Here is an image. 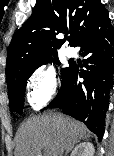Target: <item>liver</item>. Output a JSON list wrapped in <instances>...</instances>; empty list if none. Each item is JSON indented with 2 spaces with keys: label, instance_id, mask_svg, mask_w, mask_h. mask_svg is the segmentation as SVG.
<instances>
[{
  "label": "liver",
  "instance_id": "6515ba94",
  "mask_svg": "<svg viewBox=\"0 0 114 156\" xmlns=\"http://www.w3.org/2000/svg\"><path fill=\"white\" fill-rule=\"evenodd\" d=\"M86 132L85 125L61 114L33 116L17 131L15 156H62L84 139Z\"/></svg>",
  "mask_w": 114,
  "mask_h": 156
}]
</instances>
